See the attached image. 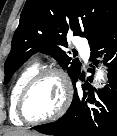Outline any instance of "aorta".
<instances>
[{
    "instance_id": "aorta-1",
    "label": "aorta",
    "mask_w": 117,
    "mask_h": 136,
    "mask_svg": "<svg viewBox=\"0 0 117 136\" xmlns=\"http://www.w3.org/2000/svg\"><path fill=\"white\" fill-rule=\"evenodd\" d=\"M104 79V73L101 69H99L96 73V81H100Z\"/></svg>"
}]
</instances>
